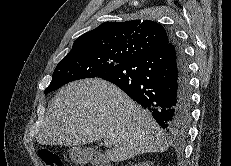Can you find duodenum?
<instances>
[{"mask_svg":"<svg viewBox=\"0 0 231 166\" xmlns=\"http://www.w3.org/2000/svg\"><path fill=\"white\" fill-rule=\"evenodd\" d=\"M78 158L93 164V166H108L105 159L93 151H82L78 154Z\"/></svg>","mask_w":231,"mask_h":166,"instance_id":"duodenum-1","label":"duodenum"}]
</instances>
